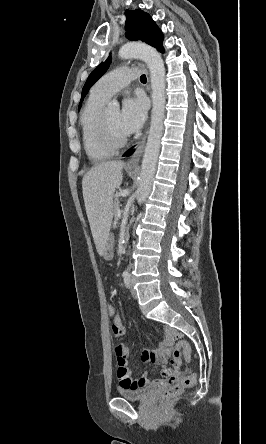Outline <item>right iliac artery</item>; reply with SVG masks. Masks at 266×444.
I'll list each match as a JSON object with an SVG mask.
<instances>
[{
    "mask_svg": "<svg viewBox=\"0 0 266 444\" xmlns=\"http://www.w3.org/2000/svg\"><path fill=\"white\" fill-rule=\"evenodd\" d=\"M123 278H124V284L127 288H130V283H131V278L130 275L128 273H124L123 274Z\"/></svg>",
    "mask_w": 266,
    "mask_h": 444,
    "instance_id": "82829eb1",
    "label": "right iliac artery"
}]
</instances>
